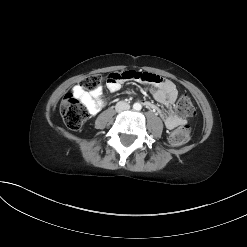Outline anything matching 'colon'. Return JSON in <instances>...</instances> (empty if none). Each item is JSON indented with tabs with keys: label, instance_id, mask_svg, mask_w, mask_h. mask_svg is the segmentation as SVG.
<instances>
[{
	"label": "colon",
	"instance_id": "colon-1",
	"mask_svg": "<svg viewBox=\"0 0 247 247\" xmlns=\"http://www.w3.org/2000/svg\"><path fill=\"white\" fill-rule=\"evenodd\" d=\"M124 71H122L123 73ZM144 80V79H143ZM102 81V76L93 74L82 80L80 86L84 90H93L97 88ZM148 81V80H144ZM176 112L180 118L191 117L195 114V108L191 99L187 95H182L176 103ZM60 114L65 125L71 130L81 128L88 118L87 109L72 94H67L60 103ZM190 130L187 125H180L169 135V143L173 146H179L188 141Z\"/></svg>",
	"mask_w": 247,
	"mask_h": 247
}]
</instances>
